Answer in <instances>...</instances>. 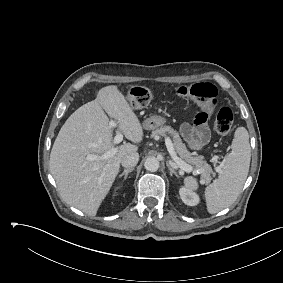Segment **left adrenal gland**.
I'll return each instance as SVG.
<instances>
[{
  "instance_id": "a2214340",
  "label": "left adrenal gland",
  "mask_w": 283,
  "mask_h": 283,
  "mask_svg": "<svg viewBox=\"0 0 283 283\" xmlns=\"http://www.w3.org/2000/svg\"><path fill=\"white\" fill-rule=\"evenodd\" d=\"M166 165L170 171V176H173L174 174L177 178H180V175L171 167V165L168 162Z\"/></svg>"
}]
</instances>
